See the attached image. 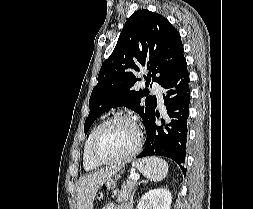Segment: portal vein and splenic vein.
<instances>
[{"instance_id":"portal-vein-and-splenic-vein-1","label":"portal vein and splenic vein","mask_w":253,"mask_h":209,"mask_svg":"<svg viewBox=\"0 0 253 209\" xmlns=\"http://www.w3.org/2000/svg\"><path fill=\"white\" fill-rule=\"evenodd\" d=\"M130 179H131L132 181L136 182V181L139 180V175L133 173V174L130 175Z\"/></svg>"}]
</instances>
